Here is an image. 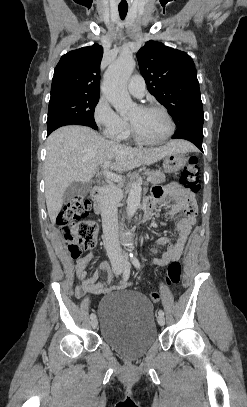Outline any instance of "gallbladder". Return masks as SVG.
<instances>
[{"label":"gallbladder","mask_w":247,"mask_h":407,"mask_svg":"<svg viewBox=\"0 0 247 407\" xmlns=\"http://www.w3.org/2000/svg\"><path fill=\"white\" fill-rule=\"evenodd\" d=\"M92 187V182H73L71 183L63 194L64 204L68 203L75 197H85Z\"/></svg>","instance_id":"gallbladder-1"}]
</instances>
